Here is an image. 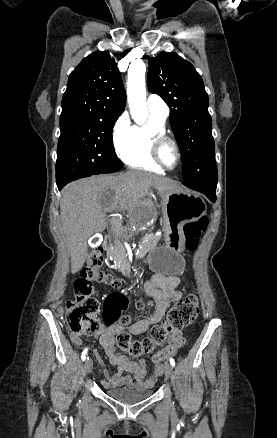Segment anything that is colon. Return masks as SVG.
Listing matches in <instances>:
<instances>
[{
    "label": "colon",
    "instance_id": "5ec220e1",
    "mask_svg": "<svg viewBox=\"0 0 277 438\" xmlns=\"http://www.w3.org/2000/svg\"><path fill=\"white\" fill-rule=\"evenodd\" d=\"M208 226V218L200 217L197 221L186 223L183 226V233L186 239V247L194 250L198 246L201 234ZM104 251L102 247H95L86 261L80 277L75 285V297L67 302L66 317L72 330L83 331L89 335L103 334L104 326L99 312V303L95 296H91L94 283L112 286L122 282L116 276L108 273L103 268ZM143 304L137 303L141 308ZM199 311L198 299L195 296H187L178 301L174 307L170 308L164 321L153 326L149 335L141 339H132L128 332H118L114 336L115 343L122 351L128 352L133 357L143 354H150L157 347H161L170 335H174L173 343L176 347H182L185 337L177 333L191 324ZM129 321L128 315H123L120 319L122 324ZM165 355L157 353L153 356V362H162Z\"/></svg>",
    "mask_w": 277,
    "mask_h": 438
}]
</instances>
